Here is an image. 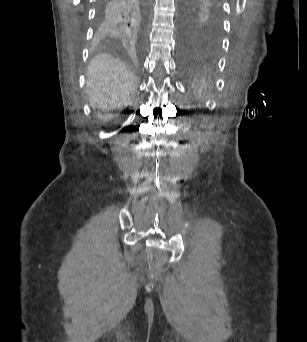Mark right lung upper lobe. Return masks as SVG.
I'll return each mask as SVG.
<instances>
[{
  "label": "right lung upper lobe",
  "mask_w": 307,
  "mask_h": 342,
  "mask_svg": "<svg viewBox=\"0 0 307 342\" xmlns=\"http://www.w3.org/2000/svg\"><path fill=\"white\" fill-rule=\"evenodd\" d=\"M147 0H101V32L108 37L136 35L144 27Z\"/></svg>",
  "instance_id": "right-lung-upper-lobe-1"
}]
</instances>
